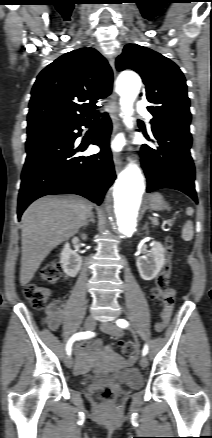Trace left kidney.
Segmentation results:
<instances>
[{
	"instance_id": "left-kidney-1",
	"label": "left kidney",
	"mask_w": 212,
	"mask_h": 438,
	"mask_svg": "<svg viewBox=\"0 0 212 438\" xmlns=\"http://www.w3.org/2000/svg\"><path fill=\"white\" fill-rule=\"evenodd\" d=\"M165 249L160 242H155L146 255L137 258L136 265L144 280L154 279L165 263Z\"/></svg>"
}]
</instances>
